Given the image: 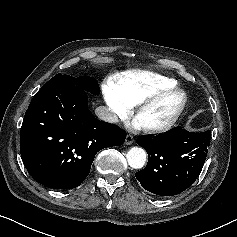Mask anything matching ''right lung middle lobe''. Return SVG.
<instances>
[{"mask_svg": "<svg viewBox=\"0 0 237 237\" xmlns=\"http://www.w3.org/2000/svg\"><path fill=\"white\" fill-rule=\"evenodd\" d=\"M59 83L75 85L93 94H99L100 90L98 82L94 78L88 76H81L78 78H74L72 76L62 75L59 73L53 78H51L46 84H59Z\"/></svg>", "mask_w": 237, "mask_h": 237, "instance_id": "obj_1", "label": "right lung middle lobe"}]
</instances>
